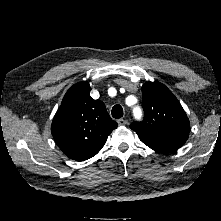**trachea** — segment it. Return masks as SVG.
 I'll list each match as a JSON object with an SVG mask.
<instances>
[{"label":"trachea","instance_id":"3493384b","mask_svg":"<svg viewBox=\"0 0 221 221\" xmlns=\"http://www.w3.org/2000/svg\"><path fill=\"white\" fill-rule=\"evenodd\" d=\"M111 114L112 117L115 119H119L123 116V108L121 107V105H115L113 106L112 110H111Z\"/></svg>","mask_w":221,"mask_h":221}]
</instances>
